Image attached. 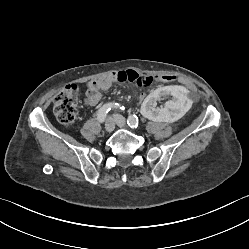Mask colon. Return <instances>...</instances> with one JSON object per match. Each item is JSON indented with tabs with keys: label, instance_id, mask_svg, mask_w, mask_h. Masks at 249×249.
<instances>
[{
	"label": "colon",
	"instance_id": "obj_1",
	"mask_svg": "<svg viewBox=\"0 0 249 249\" xmlns=\"http://www.w3.org/2000/svg\"><path fill=\"white\" fill-rule=\"evenodd\" d=\"M154 81H161L162 83H177V76H162L153 75L152 77L140 76V78L133 82L139 88H146ZM80 88L77 84H69L58 92L54 97L53 111L60 123L66 126L74 124L77 118V103L79 98Z\"/></svg>",
	"mask_w": 249,
	"mask_h": 249
}]
</instances>
